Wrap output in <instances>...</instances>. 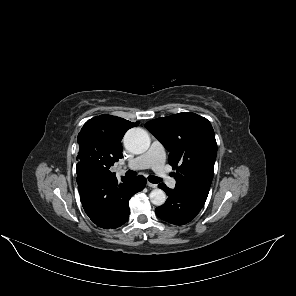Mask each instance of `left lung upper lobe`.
I'll return each instance as SVG.
<instances>
[{"label": "left lung upper lobe", "mask_w": 296, "mask_h": 296, "mask_svg": "<svg viewBox=\"0 0 296 296\" xmlns=\"http://www.w3.org/2000/svg\"><path fill=\"white\" fill-rule=\"evenodd\" d=\"M145 127L170 151L176 187L209 190L217 143L211 123L195 113L157 118Z\"/></svg>", "instance_id": "1"}]
</instances>
